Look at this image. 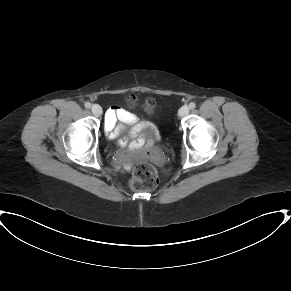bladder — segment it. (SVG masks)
<instances>
[{
	"instance_id": "1",
	"label": "bladder",
	"mask_w": 291,
	"mask_h": 291,
	"mask_svg": "<svg viewBox=\"0 0 291 291\" xmlns=\"http://www.w3.org/2000/svg\"><path fill=\"white\" fill-rule=\"evenodd\" d=\"M153 126L147 119L140 116H131L123 123L116 134L119 139H132L146 132H152Z\"/></svg>"
}]
</instances>
